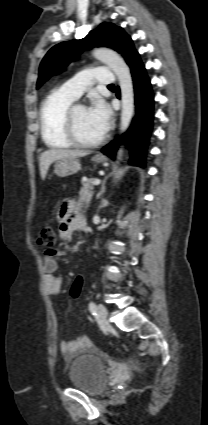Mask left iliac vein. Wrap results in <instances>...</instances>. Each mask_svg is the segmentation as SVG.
I'll use <instances>...</instances> for the list:
<instances>
[{
    "instance_id": "1",
    "label": "left iliac vein",
    "mask_w": 208,
    "mask_h": 425,
    "mask_svg": "<svg viewBox=\"0 0 208 425\" xmlns=\"http://www.w3.org/2000/svg\"><path fill=\"white\" fill-rule=\"evenodd\" d=\"M97 312H98L100 323L102 325H105L107 323V318H108V311L106 307L102 304H99L97 307Z\"/></svg>"
}]
</instances>
